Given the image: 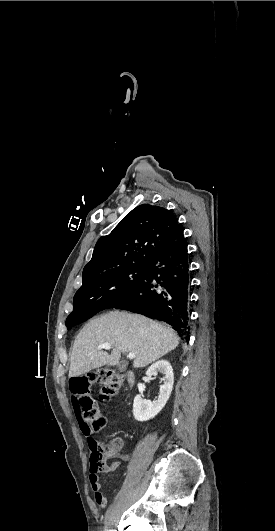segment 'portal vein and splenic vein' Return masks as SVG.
<instances>
[{
    "instance_id": "1",
    "label": "portal vein and splenic vein",
    "mask_w": 275,
    "mask_h": 531,
    "mask_svg": "<svg viewBox=\"0 0 275 531\" xmlns=\"http://www.w3.org/2000/svg\"><path fill=\"white\" fill-rule=\"evenodd\" d=\"M97 349L98 351H101V349H106V351H109V349H111V343H103V345H99ZM128 357L129 359H135L134 353H129Z\"/></svg>"
}]
</instances>
